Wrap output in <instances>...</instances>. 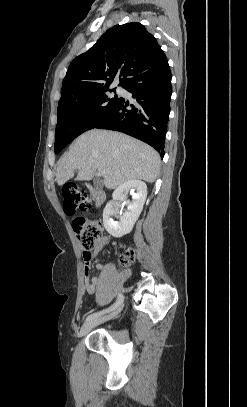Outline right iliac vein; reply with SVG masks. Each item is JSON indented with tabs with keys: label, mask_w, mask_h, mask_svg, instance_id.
I'll list each match as a JSON object with an SVG mask.
<instances>
[{
	"label": "right iliac vein",
	"mask_w": 247,
	"mask_h": 407,
	"mask_svg": "<svg viewBox=\"0 0 247 407\" xmlns=\"http://www.w3.org/2000/svg\"><path fill=\"white\" fill-rule=\"evenodd\" d=\"M120 310H121V308L115 310L114 312H112L109 315L104 316L102 318L93 319V320L85 322L78 333L79 337L86 335L92 328H94L98 324L115 317Z\"/></svg>",
	"instance_id": "right-iliac-vein-1"
}]
</instances>
